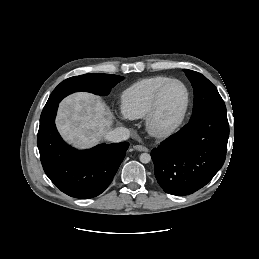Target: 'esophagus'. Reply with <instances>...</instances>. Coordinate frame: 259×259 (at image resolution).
Here are the masks:
<instances>
[{
  "mask_svg": "<svg viewBox=\"0 0 259 259\" xmlns=\"http://www.w3.org/2000/svg\"><path fill=\"white\" fill-rule=\"evenodd\" d=\"M133 147L140 152H148V148L143 145H134Z\"/></svg>",
  "mask_w": 259,
  "mask_h": 259,
  "instance_id": "esophagus-1",
  "label": "esophagus"
}]
</instances>
